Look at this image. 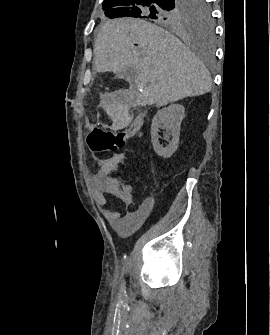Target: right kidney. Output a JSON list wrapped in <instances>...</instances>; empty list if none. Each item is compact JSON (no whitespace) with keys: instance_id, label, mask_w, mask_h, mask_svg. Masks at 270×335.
I'll list each match as a JSON object with an SVG mask.
<instances>
[{"instance_id":"1","label":"right kidney","mask_w":270,"mask_h":335,"mask_svg":"<svg viewBox=\"0 0 270 335\" xmlns=\"http://www.w3.org/2000/svg\"><path fill=\"white\" fill-rule=\"evenodd\" d=\"M184 112L185 108L181 104H171L168 108H162V110H158L157 114H155L151 126V144L158 156L171 158L172 154L176 152ZM159 128L170 130V132H166L165 136H173L169 146H166V148H162L159 144Z\"/></svg>"}]
</instances>
